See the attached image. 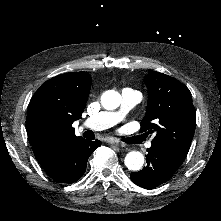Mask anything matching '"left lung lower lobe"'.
<instances>
[{"instance_id":"left-lung-lower-lobe-1","label":"left lung lower lobe","mask_w":221,"mask_h":221,"mask_svg":"<svg viewBox=\"0 0 221 221\" xmlns=\"http://www.w3.org/2000/svg\"><path fill=\"white\" fill-rule=\"evenodd\" d=\"M147 166L130 175L131 180L145 189H154L165 183L181 166L164 149L151 146L147 149Z\"/></svg>"}]
</instances>
